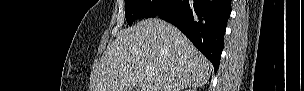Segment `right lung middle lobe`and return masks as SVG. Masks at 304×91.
Returning a JSON list of instances; mask_svg holds the SVG:
<instances>
[{
  "label": "right lung middle lobe",
  "mask_w": 304,
  "mask_h": 91,
  "mask_svg": "<svg viewBox=\"0 0 304 91\" xmlns=\"http://www.w3.org/2000/svg\"><path fill=\"white\" fill-rule=\"evenodd\" d=\"M168 3L169 0H125L127 23L132 25L135 19L155 17Z\"/></svg>",
  "instance_id": "1"
}]
</instances>
